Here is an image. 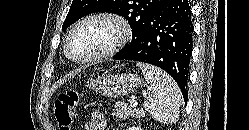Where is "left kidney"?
I'll return each mask as SVG.
<instances>
[{
  "mask_svg": "<svg viewBox=\"0 0 249 130\" xmlns=\"http://www.w3.org/2000/svg\"><path fill=\"white\" fill-rule=\"evenodd\" d=\"M128 130H142L140 127H131Z\"/></svg>",
  "mask_w": 249,
  "mask_h": 130,
  "instance_id": "left-kidney-1",
  "label": "left kidney"
}]
</instances>
